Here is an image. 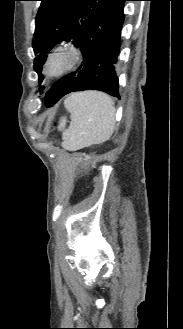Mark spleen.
<instances>
[{
    "label": "spleen",
    "mask_w": 183,
    "mask_h": 329,
    "mask_svg": "<svg viewBox=\"0 0 183 329\" xmlns=\"http://www.w3.org/2000/svg\"><path fill=\"white\" fill-rule=\"evenodd\" d=\"M71 122L63 147L76 151L107 141L115 125V107L110 96L99 91L71 93L64 101Z\"/></svg>",
    "instance_id": "spleen-1"
}]
</instances>
